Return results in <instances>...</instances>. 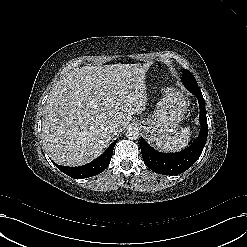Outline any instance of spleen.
Returning <instances> with one entry per match:
<instances>
[{
  "instance_id": "1",
  "label": "spleen",
  "mask_w": 247,
  "mask_h": 247,
  "mask_svg": "<svg viewBox=\"0 0 247 247\" xmlns=\"http://www.w3.org/2000/svg\"><path fill=\"white\" fill-rule=\"evenodd\" d=\"M190 135V126H187L173 136L157 141L156 146L164 152H178L187 147Z\"/></svg>"
}]
</instances>
